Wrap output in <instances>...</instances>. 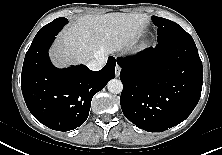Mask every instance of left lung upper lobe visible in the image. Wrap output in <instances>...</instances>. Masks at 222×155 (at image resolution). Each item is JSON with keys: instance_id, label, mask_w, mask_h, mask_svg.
<instances>
[{"instance_id": "5c2ea615", "label": "left lung upper lobe", "mask_w": 222, "mask_h": 155, "mask_svg": "<svg viewBox=\"0 0 222 155\" xmlns=\"http://www.w3.org/2000/svg\"><path fill=\"white\" fill-rule=\"evenodd\" d=\"M152 21L158 27L159 43L177 40L193 41V38L189 33H187L181 26L171 20L153 16Z\"/></svg>"}]
</instances>
